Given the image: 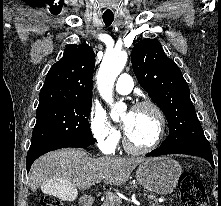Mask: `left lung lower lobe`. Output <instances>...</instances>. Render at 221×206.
<instances>
[{
    "instance_id": "left-lung-lower-lobe-1",
    "label": "left lung lower lobe",
    "mask_w": 221,
    "mask_h": 206,
    "mask_svg": "<svg viewBox=\"0 0 221 206\" xmlns=\"http://www.w3.org/2000/svg\"><path fill=\"white\" fill-rule=\"evenodd\" d=\"M165 154H187L202 157L206 159L214 167L213 156L210 147L203 146H177V147H163L157 148L146 156H158Z\"/></svg>"
}]
</instances>
